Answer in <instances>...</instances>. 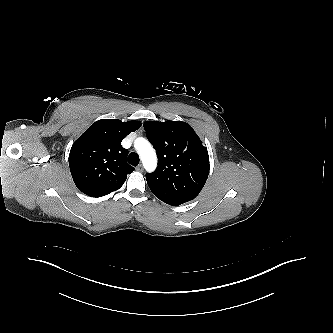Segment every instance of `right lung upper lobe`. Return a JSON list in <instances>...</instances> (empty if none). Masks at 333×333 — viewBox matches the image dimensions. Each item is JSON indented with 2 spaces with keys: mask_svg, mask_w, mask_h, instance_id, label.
<instances>
[{
  "mask_svg": "<svg viewBox=\"0 0 333 333\" xmlns=\"http://www.w3.org/2000/svg\"><path fill=\"white\" fill-rule=\"evenodd\" d=\"M141 122L102 119L94 122L73 144L69 167L77 188L91 197H102L119 189L134 168L126 159L121 141Z\"/></svg>",
  "mask_w": 333,
  "mask_h": 333,
  "instance_id": "1",
  "label": "right lung upper lobe"
}]
</instances>
